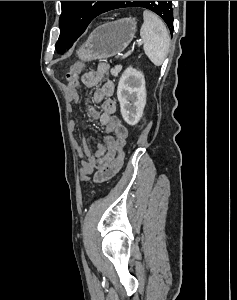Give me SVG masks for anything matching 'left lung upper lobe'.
<instances>
[{"label": "left lung upper lobe", "instance_id": "left-lung-upper-lobe-1", "mask_svg": "<svg viewBox=\"0 0 237 300\" xmlns=\"http://www.w3.org/2000/svg\"><path fill=\"white\" fill-rule=\"evenodd\" d=\"M111 1H61L62 13L59 18L60 36L56 43L58 53H64L86 30L89 23L105 13ZM143 7L155 12L173 30L172 1L161 8L160 1H122L120 8Z\"/></svg>", "mask_w": 237, "mask_h": 300}]
</instances>
